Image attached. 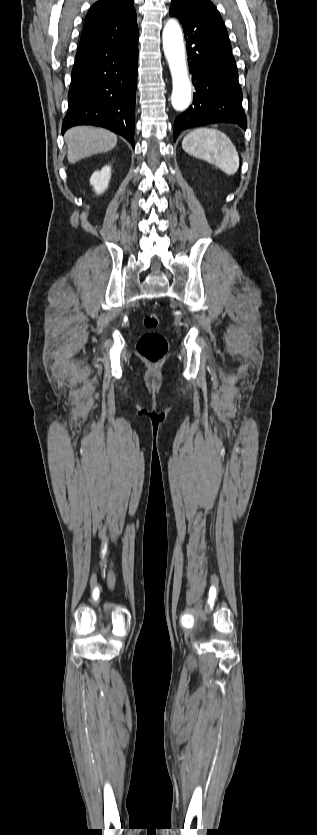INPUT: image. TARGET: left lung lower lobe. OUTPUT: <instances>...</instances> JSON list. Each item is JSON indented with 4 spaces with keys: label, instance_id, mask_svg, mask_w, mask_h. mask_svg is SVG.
Listing matches in <instances>:
<instances>
[{
    "label": "left lung lower lobe",
    "instance_id": "0a47b994",
    "mask_svg": "<svg viewBox=\"0 0 317 835\" xmlns=\"http://www.w3.org/2000/svg\"><path fill=\"white\" fill-rule=\"evenodd\" d=\"M183 30L195 93L193 106L175 119L174 140L184 129L215 123L246 130L238 70L222 18L193 14Z\"/></svg>",
    "mask_w": 317,
    "mask_h": 835
}]
</instances>
